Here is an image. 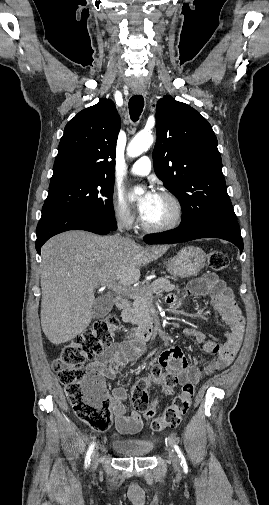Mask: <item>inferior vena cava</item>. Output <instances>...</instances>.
<instances>
[{"label": "inferior vena cava", "mask_w": 269, "mask_h": 505, "mask_svg": "<svg viewBox=\"0 0 269 505\" xmlns=\"http://www.w3.org/2000/svg\"><path fill=\"white\" fill-rule=\"evenodd\" d=\"M118 229H119V231H121V232H122L123 225H122V224H119V225H118ZM126 240H128V241H132V240L130 239V237H129V236H128V237H126Z\"/></svg>", "instance_id": "602c4592"}]
</instances>
